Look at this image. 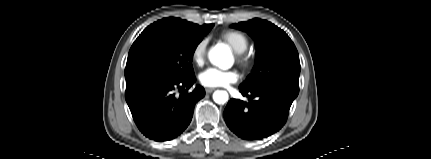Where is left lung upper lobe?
<instances>
[{"label": "left lung upper lobe", "mask_w": 431, "mask_h": 159, "mask_svg": "<svg viewBox=\"0 0 431 159\" xmlns=\"http://www.w3.org/2000/svg\"><path fill=\"white\" fill-rule=\"evenodd\" d=\"M232 27L246 31L256 44V63L240 87L254 89L272 82L299 88L300 61L289 36L266 20L254 18Z\"/></svg>", "instance_id": "left-lung-upper-lobe-1"}]
</instances>
